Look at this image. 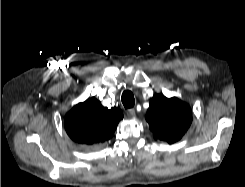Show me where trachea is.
<instances>
[{"label":"trachea","mask_w":245,"mask_h":187,"mask_svg":"<svg viewBox=\"0 0 245 187\" xmlns=\"http://www.w3.org/2000/svg\"><path fill=\"white\" fill-rule=\"evenodd\" d=\"M121 100L125 108H132L135 104L134 95L129 90L122 93Z\"/></svg>","instance_id":"obj_1"}]
</instances>
